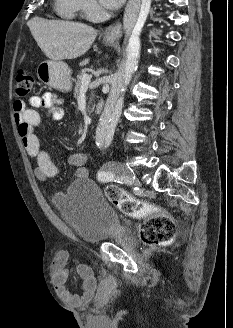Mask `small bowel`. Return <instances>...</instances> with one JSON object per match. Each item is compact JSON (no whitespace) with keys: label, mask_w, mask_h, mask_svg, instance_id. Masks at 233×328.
I'll return each instance as SVG.
<instances>
[{"label":"small bowel","mask_w":233,"mask_h":328,"mask_svg":"<svg viewBox=\"0 0 233 328\" xmlns=\"http://www.w3.org/2000/svg\"><path fill=\"white\" fill-rule=\"evenodd\" d=\"M61 100L53 93L47 92L42 96H32L28 103L16 100L13 104V113L17 124L18 134L22 144L30 157L35 161V177L39 181H46L55 177L58 173L57 165L50 156L42 149L35 130L41 123L38 109H44L55 121L63 117L64 111L60 106ZM70 164L75 168V177L85 179L88 176L85 154L75 153L70 157ZM68 265L69 255L65 251H59L53 258L51 271L54 285L58 295L65 302L84 304L89 302L97 289V281L92 268L83 263L76 264V271L82 278L81 293H75L68 289Z\"/></svg>","instance_id":"1"}]
</instances>
